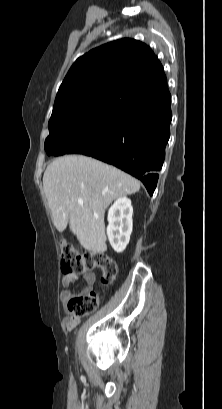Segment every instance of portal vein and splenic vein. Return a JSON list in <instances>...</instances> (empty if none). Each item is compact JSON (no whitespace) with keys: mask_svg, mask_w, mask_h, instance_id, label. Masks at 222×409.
Here are the masks:
<instances>
[{"mask_svg":"<svg viewBox=\"0 0 222 409\" xmlns=\"http://www.w3.org/2000/svg\"><path fill=\"white\" fill-rule=\"evenodd\" d=\"M77 202H78V204L81 205V204H83L84 200H83V198H78V201H77Z\"/></svg>","mask_w":222,"mask_h":409,"instance_id":"obj_1","label":"portal vein and splenic vein"}]
</instances>
